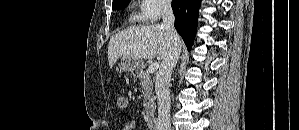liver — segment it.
Returning <instances> with one entry per match:
<instances>
[{"mask_svg":"<svg viewBox=\"0 0 299 130\" xmlns=\"http://www.w3.org/2000/svg\"><path fill=\"white\" fill-rule=\"evenodd\" d=\"M170 50L167 31L159 24L129 27L110 38L108 61L112 68L119 57L164 60Z\"/></svg>","mask_w":299,"mask_h":130,"instance_id":"obj_1","label":"liver"}]
</instances>
